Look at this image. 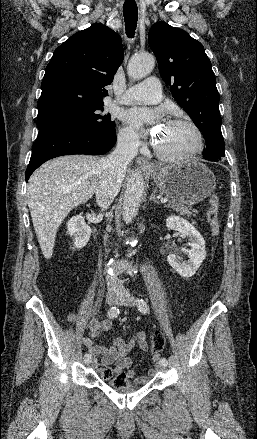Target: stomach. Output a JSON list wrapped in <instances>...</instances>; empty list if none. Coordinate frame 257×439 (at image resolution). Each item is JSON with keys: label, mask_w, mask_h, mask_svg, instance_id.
<instances>
[{"label": "stomach", "mask_w": 257, "mask_h": 439, "mask_svg": "<svg viewBox=\"0 0 257 439\" xmlns=\"http://www.w3.org/2000/svg\"><path fill=\"white\" fill-rule=\"evenodd\" d=\"M150 175L162 193L173 201L189 206L210 196L216 186L213 172L195 160L167 165Z\"/></svg>", "instance_id": "stomach-1"}]
</instances>
